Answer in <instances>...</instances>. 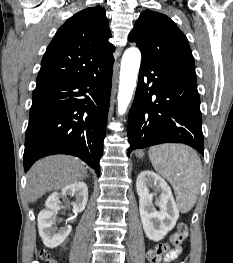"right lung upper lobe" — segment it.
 Returning <instances> with one entry per match:
<instances>
[{
  "label": "right lung upper lobe",
  "instance_id": "cb5924a9",
  "mask_svg": "<svg viewBox=\"0 0 233 263\" xmlns=\"http://www.w3.org/2000/svg\"><path fill=\"white\" fill-rule=\"evenodd\" d=\"M111 32L101 6L84 9L56 32L41 61L36 88L83 79L114 60Z\"/></svg>",
  "mask_w": 233,
  "mask_h": 263
}]
</instances>
